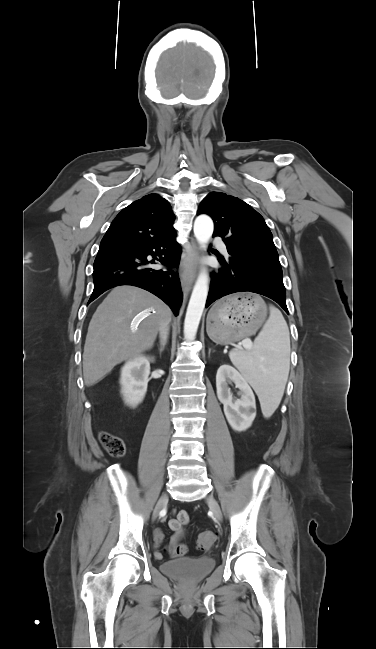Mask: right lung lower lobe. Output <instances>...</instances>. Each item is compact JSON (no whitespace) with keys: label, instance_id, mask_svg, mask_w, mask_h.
<instances>
[{"label":"right lung lower lobe","instance_id":"obj_1","mask_svg":"<svg viewBox=\"0 0 376 649\" xmlns=\"http://www.w3.org/2000/svg\"><path fill=\"white\" fill-rule=\"evenodd\" d=\"M176 233L142 244L136 248L109 254L97 255L94 262V290L89 302L106 290L119 285H133L143 288L162 299L177 316L182 303V292L178 274L172 270H154L147 261L152 255L162 264L178 267L181 249L175 241Z\"/></svg>","mask_w":376,"mask_h":649}]
</instances>
